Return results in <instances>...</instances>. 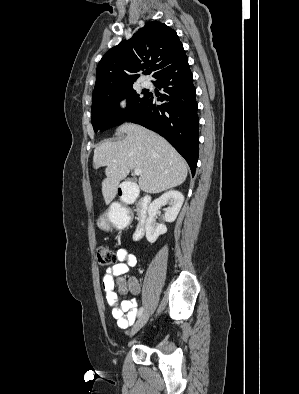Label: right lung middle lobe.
I'll return each instance as SVG.
<instances>
[{
  "label": "right lung middle lobe",
  "mask_w": 299,
  "mask_h": 394,
  "mask_svg": "<svg viewBox=\"0 0 299 394\" xmlns=\"http://www.w3.org/2000/svg\"><path fill=\"white\" fill-rule=\"evenodd\" d=\"M140 96L133 89L132 84L124 87L101 90L93 93L92 97V125L94 131H104L122 124L145 101L147 93ZM126 99L128 105L125 110L119 108V102Z\"/></svg>",
  "instance_id": "obj_1"
}]
</instances>
